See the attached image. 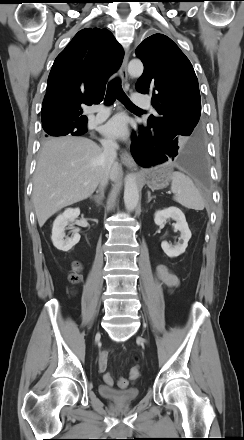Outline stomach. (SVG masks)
I'll return each mask as SVG.
<instances>
[{
  "mask_svg": "<svg viewBox=\"0 0 244 440\" xmlns=\"http://www.w3.org/2000/svg\"><path fill=\"white\" fill-rule=\"evenodd\" d=\"M171 167L167 164L159 165L147 172L146 183L153 190L163 189L171 180Z\"/></svg>",
  "mask_w": 244,
  "mask_h": 440,
  "instance_id": "1",
  "label": "stomach"
}]
</instances>
